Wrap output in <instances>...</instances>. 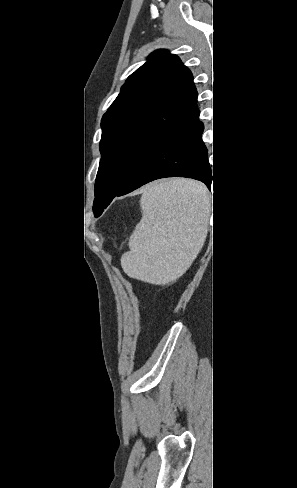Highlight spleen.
<instances>
[{"label": "spleen", "instance_id": "3e777b00", "mask_svg": "<svg viewBox=\"0 0 297 488\" xmlns=\"http://www.w3.org/2000/svg\"><path fill=\"white\" fill-rule=\"evenodd\" d=\"M140 204L142 218L121 266L132 278L165 284L183 274L198 254L210 196L199 182L170 179L148 186Z\"/></svg>", "mask_w": 297, "mask_h": 488}]
</instances>
